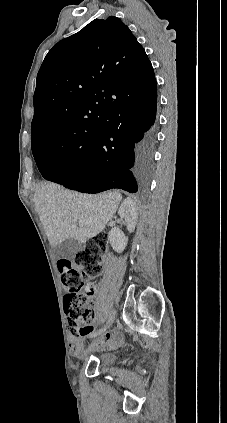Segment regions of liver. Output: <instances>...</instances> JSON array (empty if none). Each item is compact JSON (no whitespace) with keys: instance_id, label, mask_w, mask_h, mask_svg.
Wrapping results in <instances>:
<instances>
[{"instance_id":"liver-1","label":"liver","mask_w":227,"mask_h":423,"mask_svg":"<svg viewBox=\"0 0 227 423\" xmlns=\"http://www.w3.org/2000/svg\"><path fill=\"white\" fill-rule=\"evenodd\" d=\"M122 200L119 192L78 194L58 184H40L34 194L35 210L52 247L74 237L86 243L105 229Z\"/></svg>"}]
</instances>
